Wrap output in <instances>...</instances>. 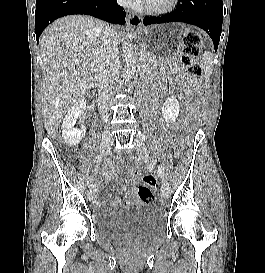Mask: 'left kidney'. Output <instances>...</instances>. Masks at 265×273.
Returning <instances> with one entry per match:
<instances>
[{
	"mask_svg": "<svg viewBox=\"0 0 265 273\" xmlns=\"http://www.w3.org/2000/svg\"><path fill=\"white\" fill-rule=\"evenodd\" d=\"M179 112H180L179 102L176 96L173 94L163 104L161 113L166 122L173 123L178 118Z\"/></svg>",
	"mask_w": 265,
	"mask_h": 273,
	"instance_id": "left-kidney-1",
	"label": "left kidney"
}]
</instances>
